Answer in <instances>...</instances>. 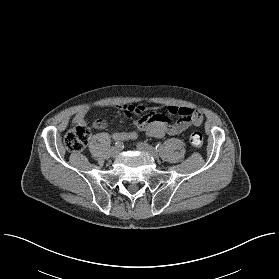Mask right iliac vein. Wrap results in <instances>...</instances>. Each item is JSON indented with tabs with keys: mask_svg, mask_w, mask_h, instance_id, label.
<instances>
[{
	"mask_svg": "<svg viewBox=\"0 0 279 279\" xmlns=\"http://www.w3.org/2000/svg\"><path fill=\"white\" fill-rule=\"evenodd\" d=\"M119 152H120V148H118L117 146H113L111 148L110 155H111V157L114 158V157L118 156Z\"/></svg>",
	"mask_w": 279,
	"mask_h": 279,
	"instance_id": "obj_1",
	"label": "right iliac vein"
}]
</instances>
